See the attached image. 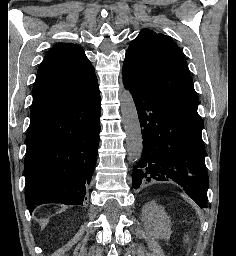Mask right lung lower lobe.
Instances as JSON below:
<instances>
[{
    "label": "right lung lower lobe",
    "mask_w": 236,
    "mask_h": 256,
    "mask_svg": "<svg viewBox=\"0 0 236 256\" xmlns=\"http://www.w3.org/2000/svg\"><path fill=\"white\" fill-rule=\"evenodd\" d=\"M98 84L31 121L26 138L25 200L37 205H82L99 144Z\"/></svg>",
    "instance_id": "right-lung-lower-lobe-1"
}]
</instances>
